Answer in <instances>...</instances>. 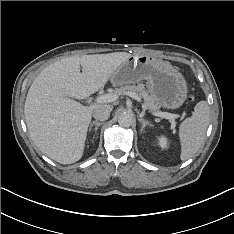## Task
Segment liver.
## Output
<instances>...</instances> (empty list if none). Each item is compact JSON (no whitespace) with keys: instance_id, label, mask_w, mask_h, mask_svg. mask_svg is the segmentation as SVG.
Returning a JSON list of instances; mask_svg holds the SVG:
<instances>
[{"instance_id":"1","label":"liver","mask_w":234,"mask_h":234,"mask_svg":"<svg viewBox=\"0 0 234 234\" xmlns=\"http://www.w3.org/2000/svg\"><path fill=\"white\" fill-rule=\"evenodd\" d=\"M131 56L127 52L72 56L39 73L28 90L24 114L30 137L42 153L61 164L82 158L94 109L111 106H83L70 97L84 99L103 88Z\"/></svg>"}]
</instances>
